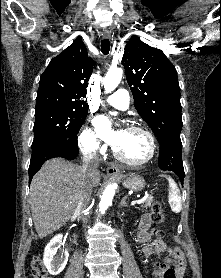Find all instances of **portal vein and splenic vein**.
<instances>
[{"label":"portal vein and splenic vein","mask_w":221,"mask_h":278,"mask_svg":"<svg viewBox=\"0 0 221 278\" xmlns=\"http://www.w3.org/2000/svg\"><path fill=\"white\" fill-rule=\"evenodd\" d=\"M144 200H145V198H143V199H139V200H135V201H133L132 203H131V205H140V204H142L143 202H144Z\"/></svg>","instance_id":"1"}]
</instances>
